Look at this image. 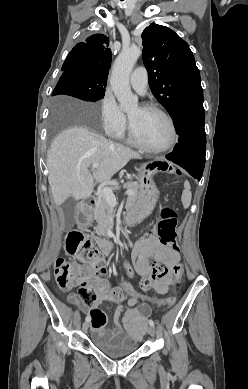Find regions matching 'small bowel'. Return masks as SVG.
Returning a JSON list of instances; mask_svg holds the SVG:
<instances>
[{
  "mask_svg": "<svg viewBox=\"0 0 248 389\" xmlns=\"http://www.w3.org/2000/svg\"><path fill=\"white\" fill-rule=\"evenodd\" d=\"M151 255H155L168 267V269H171L179 262L177 250L170 246L162 245L155 236L144 237L136 242L131 253L134 265V275L137 274L146 277L151 274L148 263V258ZM153 287L159 294L168 293L170 291V278L165 277L154 281ZM111 289L123 294V300H125L126 303L125 305L118 306L116 309L113 317V330H108V332L111 334H127L138 342L147 328V320L151 313V306L144 303L138 304L140 301H143V299L130 298L127 292L123 291L122 286ZM68 301L79 306L81 310L90 317L92 307L88 306L78 293H70L68 295ZM105 301L107 300H97L93 303V306H97Z\"/></svg>",
  "mask_w": 248,
  "mask_h": 389,
  "instance_id": "small-bowel-1",
  "label": "small bowel"
}]
</instances>
